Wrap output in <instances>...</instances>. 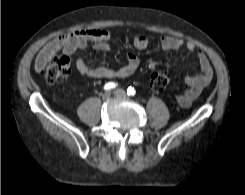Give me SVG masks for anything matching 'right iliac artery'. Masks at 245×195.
Masks as SVG:
<instances>
[{
    "label": "right iliac artery",
    "instance_id": "1",
    "mask_svg": "<svg viewBox=\"0 0 245 195\" xmlns=\"http://www.w3.org/2000/svg\"><path fill=\"white\" fill-rule=\"evenodd\" d=\"M116 86H117L116 83H114V82H109V83L105 84L104 90H111V89H114Z\"/></svg>",
    "mask_w": 245,
    "mask_h": 195
}]
</instances>
